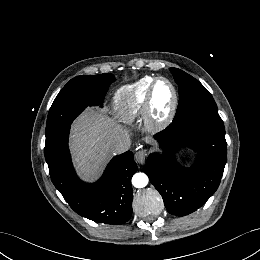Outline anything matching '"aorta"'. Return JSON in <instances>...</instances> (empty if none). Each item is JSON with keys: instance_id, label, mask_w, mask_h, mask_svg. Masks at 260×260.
Segmentation results:
<instances>
[{"instance_id": "aorta-1", "label": "aorta", "mask_w": 260, "mask_h": 260, "mask_svg": "<svg viewBox=\"0 0 260 260\" xmlns=\"http://www.w3.org/2000/svg\"><path fill=\"white\" fill-rule=\"evenodd\" d=\"M148 184V177L145 173H136L132 177V185L136 188H143Z\"/></svg>"}]
</instances>
